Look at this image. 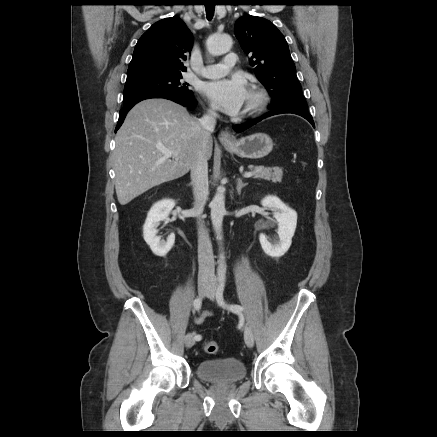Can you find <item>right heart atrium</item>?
<instances>
[{"label": "right heart atrium", "instance_id": "right-heart-atrium-1", "mask_svg": "<svg viewBox=\"0 0 437 437\" xmlns=\"http://www.w3.org/2000/svg\"><path fill=\"white\" fill-rule=\"evenodd\" d=\"M208 113L211 114V115H214V114H215V108H214V106H210V107L208 108Z\"/></svg>", "mask_w": 437, "mask_h": 437}]
</instances>
